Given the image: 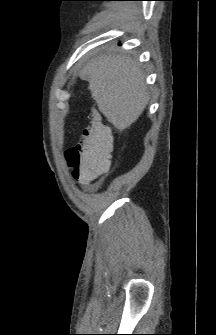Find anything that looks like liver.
<instances>
[{"label": "liver", "instance_id": "6515ba94", "mask_svg": "<svg viewBox=\"0 0 216 335\" xmlns=\"http://www.w3.org/2000/svg\"><path fill=\"white\" fill-rule=\"evenodd\" d=\"M99 111L119 130L131 126L149 102L145 76L130 56L102 54L82 70Z\"/></svg>", "mask_w": 216, "mask_h": 335}]
</instances>
